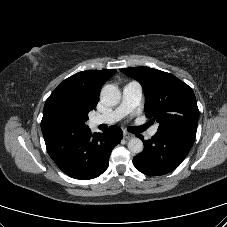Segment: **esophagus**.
Masks as SVG:
<instances>
[{
	"label": "esophagus",
	"mask_w": 227,
	"mask_h": 227,
	"mask_svg": "<svg viewBox=\"0 0 227 227\" xmlns=\"http://www.w3.org/2000/svg\"><path fill=\"white\" fill-rule=\"evenodd\" d=\"M123 137H124L126 140H130V139H132V138L134 137V135L131 134V133H128V132H124V133H123Z\"/></svg>",
	"instance_id": "34e87169"
}]
</instances>
